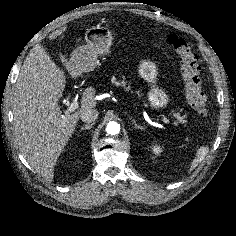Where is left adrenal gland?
Masks as SVG:
<instances>
[{
	"instance_id": "left-adrenal-gland-1",
	"label": "left adrenal gland",
	"mask_w": 236,
	"mask_h": 236,
	"mask_svg": "<svg viewBox=\"0 0 236 236\" xmlns=\"http://www.w3.org/2000/svg\"><path fill=\"white\" fill-rule=\"evenodd\" d=\"M131 119H132V123L136 129H140V130L145 129L142 125L137 124L135 119H133V118H131Z\"/></svg>"
}]
</instances>
